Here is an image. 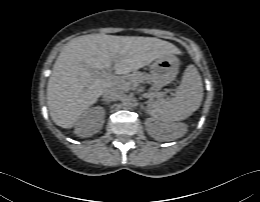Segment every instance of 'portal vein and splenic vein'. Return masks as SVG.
Masks as SVG:
<instances>
[{
	"mask_svg": "<svg viewBox=\"0 0 260 202\" xmlns=\"http://www.w3.org/2000/svg\"><path fill=\"white\" fill-rule=\"evenodd\" d=\"M92 74L95 76V77H100V78H106V79H109V80H115L117 77L111 73H107L106 71H97V70H93ZM158 95H161V94H158ZM144 97H150L149 95L147 94H144Z\"/></svg>",
	"mask_w": 260,
	"mask_h": 202,
	"instance_id": "18ae733b",
	"label": "portal vein and splenic vein"
}]
</instances>
